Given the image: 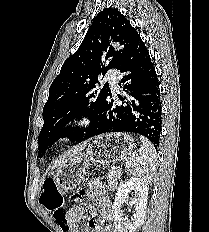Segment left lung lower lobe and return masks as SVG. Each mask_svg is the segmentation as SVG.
I'll use <instances>...</instances> for the list:
<instances>
[{
  "label": "left lung lower lobe",
  "mask_w": 209,
  "mask_h": 232,
  "mask_svg": "<svg viewBox=\"0 0 209 232\" xmlns=\"http://www.w3.org/2000/svg\"><path fill=\"white\" fill-rule=\"evenodd\" d=\"M118 71L124 74L119 85L126 96L118 95L122 104H117L110 95L84 140L104 133L132 132L147 137L157 148L162 124L159 81L141 38L134 43Z\"/></svg>",
  "instance_id": "left-lung-lower-lobe-1"
}]
</instances>
